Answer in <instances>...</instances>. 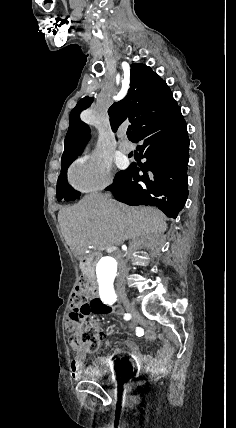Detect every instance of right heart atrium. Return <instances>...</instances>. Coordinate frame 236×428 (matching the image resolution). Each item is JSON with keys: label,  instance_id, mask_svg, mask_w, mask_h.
<instances>
[{"label": "right heart atrium", "instance_id": "d8ad5b80", "mask_svg": "<svg viewBox=\"0 0 236 428\" xmlns=\"http://www.w3.org/2000/svg\"><path fill=\"white\" fill-rule=\"evenodd\" d=\"M114 177L108 164L99 158L82 157L69 170V183L78 192L94 193L112 186Z\"/></svg>", "mask_w": 236, "mask_h": 428}]
</instances>
